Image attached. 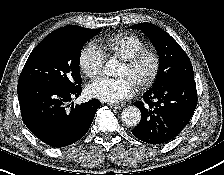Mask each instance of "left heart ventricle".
Returning <instances> with one entry per match:
<instances>
[{
    "label": "left heart ventricle",
    "instance_id": "b2bd125f",
    "mask_svg": "<svg viewBox=\"0 0 224 175\" xmlns=\"http://www.w3.org/2000/svg\"><path fill=\"white\" fill-rule=\"evenodd\" d=\"M150 70V62L145 61L136 71H130L128 67L123 64L121 70L119 72L120 76H127L129 77L134 83L138 80L147 76Z\"/></svg>",
    "mask_w": 224,
    "mask_h": 175
}]
</instances>
